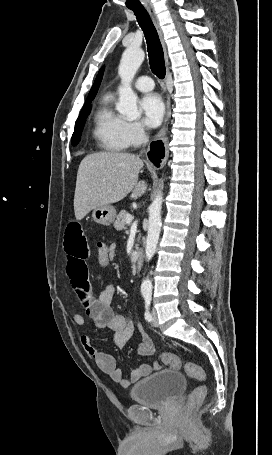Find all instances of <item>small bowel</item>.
<instances>
[{
    "mask_svg": "<svg viewBox=\"0 0 272 455\" xmlns=\"http://www.w3.org/2000/svg\"><path fill=\"white\" fill-rule=\"evenodd\" d=\"M64 247L67 254V273L72 290L77 301L84 311L73 315L75 324L85 326V318H90L98 329H109L113 332V341L118 347H123L131 338L134 330L133 323L124 315L116 314L111 306L115 293L112 284L106 285L98 298H94L89 282V271L86 260L89 256L86 237L81 224L77 221L70 222L66 227ZM111 260L115 257L116 246H108ZM142 341L138 345V354L142 357L152 356L155 346L151 337L140 327ZM80 343L86 353L92 357L101 371L108 374L111 379L123 388H127L141 378L159 370L161 365L154 362L152 365H140L127 378L122 370L117 367L113 355L95 349L86 335L80 337Z\"/></svg>",
    "mask_w": 272,
    "mask_h": 455,
    "instance_id": "obj_1",
    "label": "small bowel"
}]
</instances>
